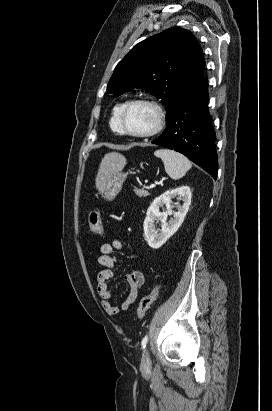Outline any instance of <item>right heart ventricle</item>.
Masks as SVG:
<instances>
[{
    "mask_svg": "<svg viewBox=\"0 0 272 411\" xmlns=\"http://www.w3.org/2000/svg\"><path fill=\"white\" fill-rule=\"evenodd\" d=\"M124 104L125 102H120L113 108L111 117L109 120V127L116 134H121L119 123H118V116Z\"/></svg>",
    "mask_w": 272,
    "mask_h": 411,
    "instance_id": "e07e8e85",
    "label": "right heart ventricle"
}]
</instances>
